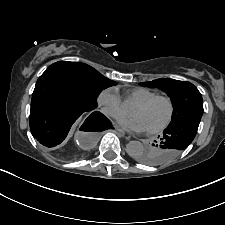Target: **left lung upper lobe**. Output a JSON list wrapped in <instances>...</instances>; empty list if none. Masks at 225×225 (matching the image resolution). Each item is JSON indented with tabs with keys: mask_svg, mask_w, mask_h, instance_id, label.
<instances>
[{
	"mask_svg": "<svg viewBox=\"0 0 225 225\" xmlns=\"http://www.w3.org/2000/svg\"><path fill=\"white\" fill-rule=\"evenodd\" d=\"M140 84L148 87H157L167 93L174 108L170 124L189 116L203 115L202 95L190 82L161 78ZM165 150V147L160 145V142L155 141V144H152V146L139 154L136 157V160L141 163L151 165L152 154L163 152Z\"/></svg>",
	"mask_w": 225,
	"mask_h": 225,
	"instance_id": "obj_1",
	"label": "left lung upper lobe"
}]
</instances>
